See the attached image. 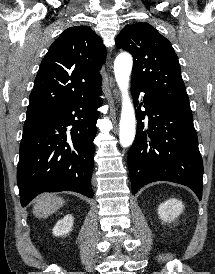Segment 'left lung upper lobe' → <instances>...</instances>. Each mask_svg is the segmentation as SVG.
Here are the masks:
<instances>
[{
  "mask_svg": "<svg viewBox=\"0 0 215 274\" xmlns=\"http://www.w3.org/2000/svg\"><path fill=\"white\" fill-rule=\"evenodd\" d=\"M134 58L132 83L174 103L190 106L177 55L171 43L148 23L125 26L116 38Z\"/></svg>",
  "mask_w": 215,
  "mask_h": 274,
  "instance_id": "obj_1",
  "label": "left lung upper lobe"
}]
</instances>
